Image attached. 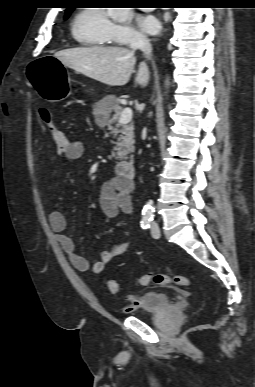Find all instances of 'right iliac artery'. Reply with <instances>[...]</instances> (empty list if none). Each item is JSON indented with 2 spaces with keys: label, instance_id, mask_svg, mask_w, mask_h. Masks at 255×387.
Segmentation results:
<instances>
[{
  "label": "right iliac artery",
  "instance_id": "right-iliac-artery-1",
  "mask_svg": "<svg viewBox=\"0 0 255 387\" xmlns=\"http://www.w3.org/2000/svg\"><path fill=\"white\" fill-rule=\"evenodd\" d=\"M151 222H152V219L149 218V217H143L142 220H141V227L142 229H148L151 225Z\"/></svg>",
  "mask_w": 255,
  "mask_h": 387
}]
</instances>
